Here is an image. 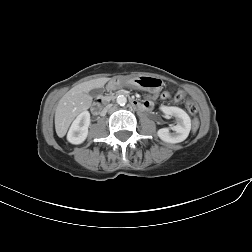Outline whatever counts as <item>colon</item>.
I'll use <instances>...</instances> for the list:
<instances>
[{"mask_svg":"<svg viewBox=\"0 0 252 252\" xmlns=\"http://www.w3.org/2000/svg\"><path fill=\"white\" fill-rule=\"evenodd\" d=\"M162 98L165 100H172L174 102H180L184 99V96L181 92H178L175 95H171L169 92H164L162 93ZM185 106L190 114L196 115L198 111V107L193 101L186 100ZM197 128H198V120L194 119L192 123V129L193 131H196Z\"/></svg>","mask_w":252,"mask_h":252,"instance_id":"5ec220e1","label":"colon"}]
</instances>
